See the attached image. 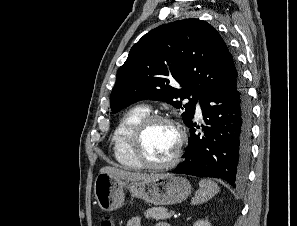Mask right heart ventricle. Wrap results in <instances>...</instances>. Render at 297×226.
I'll return each mask as SVG.
<instances>
[{"instance_id":"e07e8e85","label":"right heart ventricle","mask_w":297,"mask_h":226,"mask_svg":"<svg viewBox=\"0 0 297 226\" xmlns=\"http://www.w3.org/2000/svg\"><path fill=\"white\" fill-rule=\"evenodd\" d=\"M149 114V108L136 105L128 109L117 124L113 136V152L116 161L125 168L140 169L142 166L130 150V138L137 123Z\"/></svg>"}]
</instances>
